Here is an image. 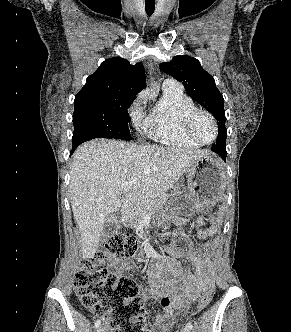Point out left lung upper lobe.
Here are the masks:
<instances>
[{
    "mask_svg": "<svg viewBox=\"0 0 291 332\" xmlns=\"http://www.w3.org/2000/svg\"><path fill=\"white\" fill-rule=\"evenodd\" d=\"M162 71L182 82L187 94L213 114L218 122V138L214 146H226L224 99L215 85L214 78L200 62L187 55L175 56L160 65Z\"/></svg>",
    "mask_w": 291,
    "mask_h": 332,
    "instance_id": "1",
    "label": "left lung upper lobe"
}]
</instances>
